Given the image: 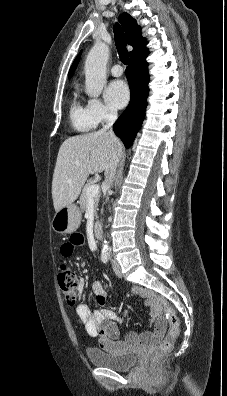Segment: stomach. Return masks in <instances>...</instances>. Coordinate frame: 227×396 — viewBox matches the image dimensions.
I'll return each mask as SVG.
<instances>
[{
	"label": "stomach",
	"instance_id": "0dacf381",
	"mask_svg": "<svg viewBox=\"0 0 227 396\" xmlns=\"http://www.w3.org/2000/svg\"><path fill=\"white\" fill-rule=\"evenodd\" d=\"M80 222L81 213L78 207L74 204H70L56 211L51 225L55 232L69 234L79 227Z\"/></svg>",
	"mask_w": 227,
	"mask_h": 396
}]
</instances>
